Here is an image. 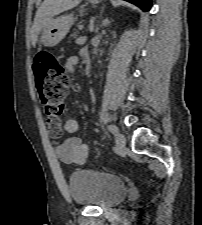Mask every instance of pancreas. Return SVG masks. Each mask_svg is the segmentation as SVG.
I'll return each instance as SVG.
<instances>
[{
    "mask_svg": "<svg viewBox=\"0 0 202 225\" xmlns=\"http://www.w3.org/2000/svg\"><path fill=\"white\" fill-rule=\"evenodd\" d=\"M77 27H78L79 29H82V28H83V26H82L80 23L77 25ZM72 36H73V37H76V36H77V32H75Z\"/></svg>",
    "mask_w": 202,
    "mask_h": 225,
    "instance_id": "pancreas-1",
    "label": "pancreas"
}]
</instances>
